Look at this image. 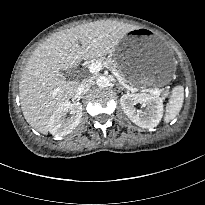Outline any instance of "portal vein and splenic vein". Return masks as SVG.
Returning <instances> with one entry per match:
<instances>
[{
	"instance_id": "obj_1",
	"label": "portal vein and splenic vein",
	"mask_w": 205,
	"mask_h": 205,
	"mask_svg": "<svg viewBox=\"0 0 205 205\" xmlns=\"http://www.w3.org/2000/svg\"><path fill=\"white\" fill-rule=\"evenodd\" d=\"M104 64H102L101 62H95V63H92L90 66H89V71L91 72V73H97V72H99L101 69H102V66H103ZM108 68V67H107ZM152 93L153 94H156V95H159L160 94V91L159 90H152Z\"/></svg>"
}]
</instances>
